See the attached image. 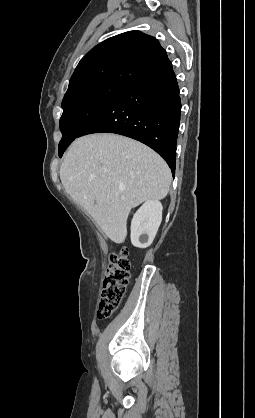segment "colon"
Segmentation results:
<instances>
[{
	"label": "colon",
	"instance_id": "obj_1",
	"mask_svg": "<svg viewBox=\"0 0 255 418\" xmlns=\"http://www.w3.org/2000/svg\"><path fill=\"white\" fill-rule=\"evenodd\" d=\"M130 281V261L125 250L112 253L104 275L97 308L99 318L110 317L119 307Z\"/></svg>",
	"mask_w": 255,
	"mask_h": 418
}]
</instances>
